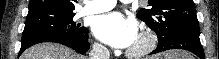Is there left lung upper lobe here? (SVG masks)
I'll return each instance as SVG.
<instances>
[{
	"mask_svg": "<svg viewBox=\"0 0 219 59\" xmlns=\"http://www.w3.org/2000/svg\"><path fill=\"white\" fill-rule=\"evenodd\" d=\"M137 17L154 30L158 41L170 38L189 26H199L193 0H148V8Z\"/></svg>",
	"mask_w": 219,
	"mask_h": 59,
	"instance_id": "left-lung-upper-lobe-1",
	"label": "left lung upper lobe"
}]
</instances>
